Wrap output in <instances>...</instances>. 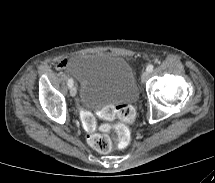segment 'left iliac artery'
Returning <instances> with one entry per match:
<instances>
[{
	"mask_svg": "<svg viewBox=\"0 0 215 183\" xmlns=\"http://www.w3.org/2000/svg\"><path fill=\"white\" fill-rule=\"evenodd\" d=\"M153 68H154V66H153L152 64H150V65L147 66V69H146V70H147L148 72H152V71H153Z\"/></svg>",
	"mask_w": 215,
	"mask_h": 183,
	"instance_id": "obj_1",
	"label": "left iliac artery"
}]
</instances>
